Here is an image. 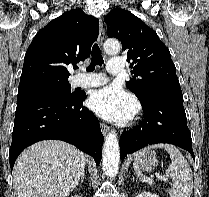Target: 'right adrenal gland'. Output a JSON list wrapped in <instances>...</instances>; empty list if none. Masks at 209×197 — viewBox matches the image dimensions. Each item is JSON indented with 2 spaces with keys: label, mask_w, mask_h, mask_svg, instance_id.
Returning <instances> with one entry per match:
<instances>
[{
  "label": "right adrenal gland",
  "mask_w": 209,
  "mask_h": 197,
  "mask_svg": "<svg viewBox=\"0 0 209 197\" xmlns=\"http://www.w3.org/2000/svg\"><path fill=\"white\" fill-rule=\"evenodd\" d=\"M84 177H85V172L83 171L81 176H80V182L83 183L84 182Z\"/></svg>",
  "instance_id": "1"
}]
</instances>
